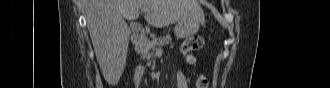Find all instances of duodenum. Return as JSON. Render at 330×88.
<instances>
[{
    "label": "duodenum",
    "instance_id": "410a0bca",
    "mask_svg": "<svg viewBox=\"0 0 330 88\" xmlns=\"http://www.w3.org/2000/svg\"><path fill=\"white\" fill-rule=\"evenodd\" d=\"M144 33L142 30L140 31H137L135 36L133 37V42L134 43H139L141 42L143 39H144ZM145 72V68L143 66H140L138 69H137V75L138 76H141L143 73Z\"/></svg>",
    "mask_w": 330,
    "mask_h": 88
}]
</instances>
